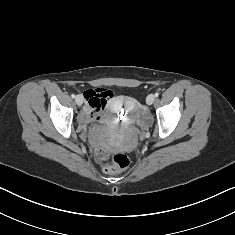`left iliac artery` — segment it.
I'll return each instance as SVG.
<instances>
[{
    "label": "left iliac artery",
    "mask_w": 235,
    "mask_h": 235,
    "mask_svg": "<svg viewBox=\"0 0 235 235\" xmlns=\"http://www.w3.org/2000/svg\"><path fill=\"white\" fill-rule=\"evenodd\" d=\"M154 96H155V97H158V96H159V93H158V92H155Z\"/></svg>",
    "instance_id": "44dca946"
}]
</instances>
